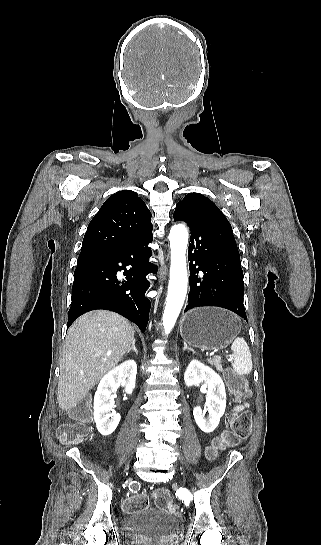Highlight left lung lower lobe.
Segmentation results:
<instances>
[{"instance_id": "0a47b994", "label": "left lung lower lobe", "mask_w": 321, "mask_h": 545, "mask_svg": "<svg viewBox=\"0 0 321 545\" xmlns=\"http://www.w3.org/2000/svg\"><path fill=\"white\" fill-rule=\"evenodd\" d=\"M191 229L188 251L190 292L185 311L200 306L229 309L245 320L244 282L232 227L221 211L179 214ZM198 266V268H196ZM199 271L203 275L198 276Z\"/></svg>"}]
</instances>
